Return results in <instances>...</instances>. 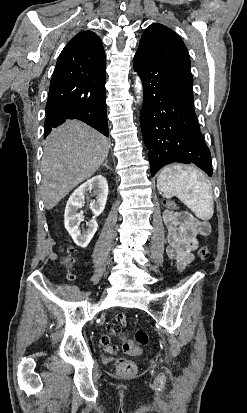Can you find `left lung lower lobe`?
<instances>
[{
  "label": "left lung lower lobe",
  "mask_w": 247,
  "mask_h": 413,
  "mask_svg": "<svg viewBox=\"0 0 247 413\" xmlns=\"http://www.w3.org/2000/svg\"><path fill=\"white\" fill-rule=\"evenodd\" d=\"M134 70L142 79L141 130L151 175L173 163H194L212 176L210 151L194 111L192 80L136 52Z\"/></svg>",
  "instance_id": "1"
}]
</instances>
